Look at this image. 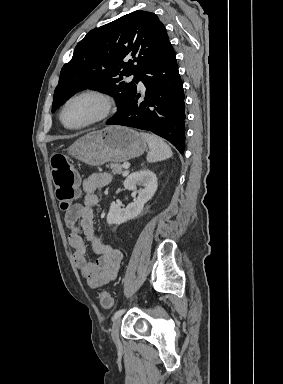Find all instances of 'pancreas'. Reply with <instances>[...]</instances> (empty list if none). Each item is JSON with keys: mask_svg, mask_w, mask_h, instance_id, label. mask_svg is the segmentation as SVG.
Here are the masks:
<instances>
[{"mask_svg": "<svg viewBox=\"0 0 283 384\" xmlns=\"http://www.w3.org/2000/svg\"><path fill=\"white\" fill-rule=\"evenodd\" d=\"M108 168H110L112 174H122L123 166L121 164H110Z\"/></svg>", "mask_w": 283, "mask_h": 384, "instance_id": "cf45deb5", "label": "pancreas"}]
</instances>
